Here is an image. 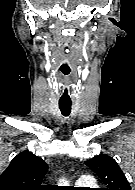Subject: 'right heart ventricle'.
Wrapping results in <instances>:
<instances>
[{
	"mask_svg": "<svg viewBox=\"0 0 135 190\" xmlns=\"http://www.w3.org/2000/svg\"><path fill=\"white\" fill-rule=\"evenodd\" d=\"M76 185H77L78 187H83V186H94L95 183H94L93 181H91L90 183H87V184H78V183H76Z\"/></svg>",
	"mask_w": 135,
	"mask_h": 190,
	"instance_id": "1",
	"label": "right heart ventricle"
}]
</instances>
